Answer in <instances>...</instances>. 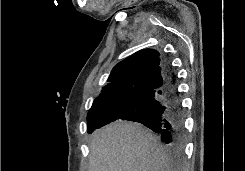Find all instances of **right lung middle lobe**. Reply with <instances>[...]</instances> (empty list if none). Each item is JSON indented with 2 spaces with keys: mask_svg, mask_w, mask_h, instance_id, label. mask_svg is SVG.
Segmentation results:
<instances>
[{
  "mask_svg": "<svg viewBox=\"0 0 245 171\" xmlns=\"http://www.w3.org/2000/svg\"><path fill=\"white\" fill-rule=\"evenodd\" d=\"M126 98L114 97L100 102H94L88 112V131L91 133L110 113H112Z\"/></svg>",
  "mask_w": 245,
  "mask_h": 171,
  "instance_id": "1",
  "label": "right lung middle lobe"
}]
</instances>
